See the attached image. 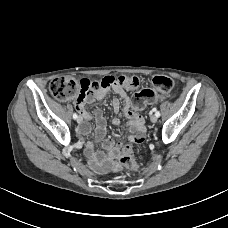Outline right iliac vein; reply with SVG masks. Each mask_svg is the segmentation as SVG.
I'll list each match as a JSON object with an SVG mask.
<instances>
[{"label": "right iliac vein", "mask_w": 228, "mask_h": 228, "mask_svg": "<svg viewBox=\"0 0 228 228\" xmlns=\"http://www.w3.org/2000/svg\"><path fill=\"white\" fill-rule=\"evenodd\" d=\"M77 122H78V123H81V122H82V117H81V116H79V117L77 118Z\"/></svg>", "instance_id": "63e3f726"}]
</instances>
